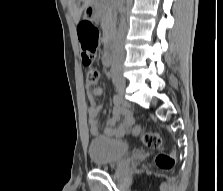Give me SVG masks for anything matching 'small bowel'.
<instances>
[{"instance_id": "small-bowel-1", "label": "small bowel", "mask_w": 223, "mask_h": 191, "mask_svg": "<svg viewBox=\"0 0 223 191\" xmlns=\"http://www.w3.org/2000/svg\"><path fill=\"white\" fill-rule=\"evenodd\" d=\"M85 26H90L98 30L94 25L89 23H85L83 27ZM102 62L108 67L111 62V57L107 58L104 54L102 56ZM86 89L88 95V122L91 134L96 137L107 136L113 138H120L129 134L134 122L132 111L113 99L112 116L108 119L106 127L101 130L99 115L103 107L97 103L96 98L103 94V89L93 86L91 83L87 84Z\"/></svg>"}]
</instances>
